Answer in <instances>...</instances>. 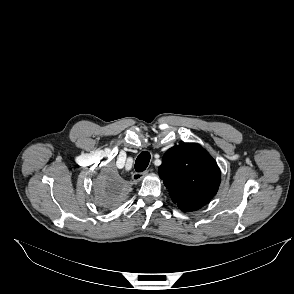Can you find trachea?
I'll return each instance as SVG.
<instances>
[{
  "instance_id": "3493384b",
  "label": "trachea",
  "mask_w": 294,
  "mask_h": 294,
  "mask_svg": "<svg viewBox=\"0 0 294 294\" xmlns=\"http://www.w3.org/2000/svg\"><path fill=\"white\" fill-rule=\"evenodd\" d=\"M150 162V153L148 151H143L136 159L135 170L137 172L144 171Z\"/></svg>"
}]
</instances>
